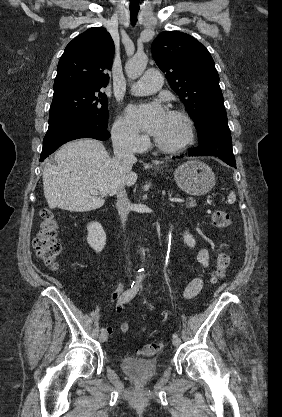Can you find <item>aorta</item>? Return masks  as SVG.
<instances>
[{"mask_svg":"<svg viewBox=\"0 0 282 417\" xmlns=\"http://www.w3.org/2000/svg\"><path fill=\"white\" fill-rule=\"evenodd\" d=\"M148 62L147 54H134L127 62H125V72L130 78H137L140 74H143ZM139 253L141 255V269L139 277H147L145 271V251L143 247L139 245Z\"/></svg>","mask_w":282,"mask_h":417,"instance_id":"aorta-1","label":"aorta"}]
</instances>
